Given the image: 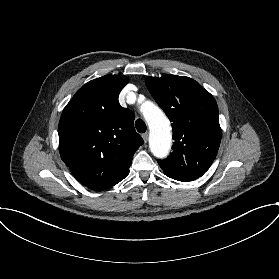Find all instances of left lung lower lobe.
I'll use <instances>...</instances> for the list:
<instances>
[{"mask_svg":"<svg viewBox=\"0 0 279 279\" xmlns=\"http://www.w3.org/2000/svg\"><path fill=\"white\" fill-rule=\"evenodd\" d=\"M165 174H166L168 177L175 179V178L172 177L171 175H169V174H167V173H165ZM175 180H177V179H175Z\"/></svg>","mask_w":279,"mask_h":279,"instance_id":"left-lung-lower-lobe-1","label":"left lung lower lobe"}]
</instances>
